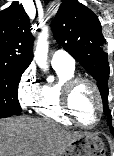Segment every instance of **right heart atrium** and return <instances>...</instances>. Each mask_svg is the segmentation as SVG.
Returning <instances> with one entry per match:
<instances>
[{
  "label": "right heart atrium",
  "mask_w": 114,
  "mask_h": 156,
  "mask_svg": "<svg viewBox=\"0 0 114 156\" xmlns=\"http://www.w3.org/2000/svg\"><path fill=\"white\" fill-rule=\"evenodd\" d=\"M40 89L41 86L35 69L32 66L27 67L21 74L17 84V97L23 109L34 106L39 97Z\"/></svg>",
  "instance_id": "1"
}]
</instances>
